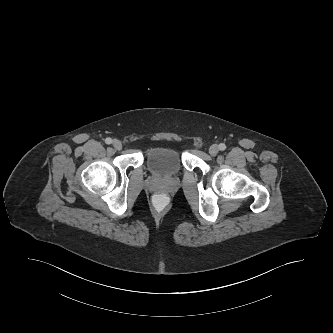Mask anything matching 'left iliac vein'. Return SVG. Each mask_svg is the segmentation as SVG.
<instances>
[{
  "label": "left iliac vein",
  "mask_w": 333,
  "mask_h": 333,
  "mask_svg": "<svg viewBox=\"0 0 333 333\" xmlns=\"http://www.w3.org/2000/svg\"><path fill=\"white\" fill-rule=\"evenodd\" d=\"M218 152H219V147L216 144L210 146L209 148L210 155L215 156L218 154Z\"/></svg>",
  "instance_id": "left-iliac-vein-1"
}]
</instances>
